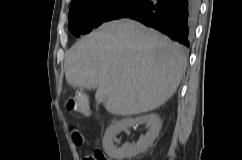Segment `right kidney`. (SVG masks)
<instances>
[{"instance_id":"1","label":"right kidney","mask_w":242,"mask_h":160,"mask_svg":"<svg viewBox=\"0 0 242 160\" xmlns=\"http://www.w3.org/2000/svg\"><path fill=\"white\" fill-rule=\"evenodd\" d=\"M147 124L150 129L144 135L141 136L136 144L125 143L121 148L115 146L116 135L123 129L131 127L133 125ZM162 122L157 114L151 113L143 115L134 119H123L110 125L103 137V149L106 154L117 160L131 159L140 153L146 151V149L154 142L158 136Z\"/></svg>"}]
</instances>
